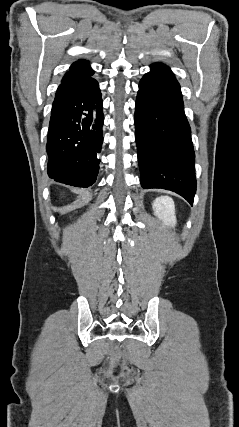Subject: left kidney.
Segmentation results:
<instances>
[{
  "mask_svg": "<svg viewBox=\"0 0 239 427\" xmlns=\"http://www.w3.org/2000/svg\"><path fill=\"white\" fill-rule=\"evenodd\" d=\"M154 214L162 220L165 225L174 227L177 223L175 216V205L168 196H160L153 201Z\"/></svg>",
  "mask_w": 239,
  "mask_h": 427,
  "instance_id": "obj_1",
  "label": "left kidney"
}]
</instances>
